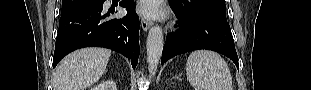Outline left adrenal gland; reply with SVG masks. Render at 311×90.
I'll return each mask as SVG.
<instances>
[{
    "mask_svg": "<svg viewBox=\"0 0 311 90\" xmlns=\"http://www.w3.org/2000/svg\"><path fill=\"white\" fill-rule=\"evenodd\" d=\"M180 77H181V74H179L178 76H175L174 78L180 80Z\"/></svg>",
    "mask_w": 311,
    "mask_h": 90,
    "instance_id": "a2214340",
    "label": "left adrenal gland"
}]
</instances>
